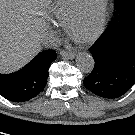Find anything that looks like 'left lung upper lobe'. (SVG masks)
Here are the masks:
<instances>
[{
  "mask_svg": "<svg viewBox=\"0 0 135 135\" xmlns=\"http://www.w3.org/2000/svg\"><path fill=\"white\" fill-rule=\"evenodd\" d=\"M116 8V19L120 20L131 9L135 8V0H114Z\"/></svg>",
  "mask_w": 135,
  "mask_h": 135,
  "instance_id": "5c2ea615",
  "label": "left lung upper lobe"
}]
</instances>
